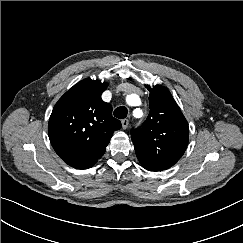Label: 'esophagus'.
<instances>
[{
    "label": "esophagus",
    "instance_id": "34e87169",
    "mask_svg": "<svg viewBox=\"0 0 243 243\" xmlns=\"http://www.w3.org/2000/svg\"><path fill=\"white\" fill-rule=\"evenodd\" d=\"M121 123H122L123 129H127L128 125H129V120L128 119H123L121 121Z\"/></svg>",
    "mask_w": 243,
    "mask_h": 243
}]
</instances>
